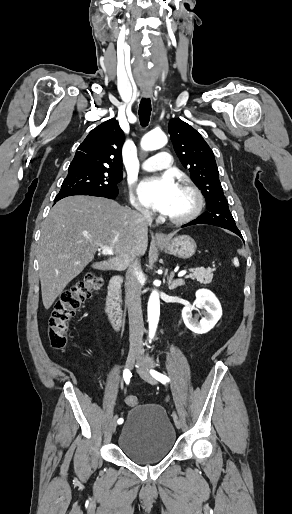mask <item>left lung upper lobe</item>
I'll list each match as a JSON object with an SVG mask.
<instances>
[{"label": "left lung upper lobe", "mask_w": 292, "mask_h": 514, "mask_svg": "<svg viewBox=\"0 0 292 514\" xmlns=\"http://www.w3.org/2000/svg\"><path fill=\"white\" fill-rule=\"evenodd\" d=\"M168 130L178 158L205 197L208 211L199 216V220L225 229L238 230L219 181L212 149L198 131L180 119L170 120Z\"/></svg>", "instance_id": "5c2ea615"}]
</instances>
